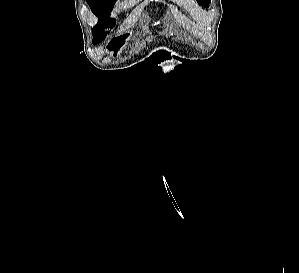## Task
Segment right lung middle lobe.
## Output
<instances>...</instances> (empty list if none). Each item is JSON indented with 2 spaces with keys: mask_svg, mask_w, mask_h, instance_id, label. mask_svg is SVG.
<instances>
[{
  "mask_svg": "<svg viewBox=\"0 0 299 273\" xmlns=\"http://www.w3.org/2000/svg\"><path fill=\"white\" fill-rule=\"evenodd\" d=\"M92 12L99 18L98 24L93 28V43L97 44L106 37L104 28H113L116 20L110 18V13L113 10L116 0H87Z\"/></svg>",
  "mask_w": 299,
  "mask_h": 273,
  "instance_id": "right-lung-middle-lobe-1",
  "label": "right lung middle lobe"
}]
</instances>
